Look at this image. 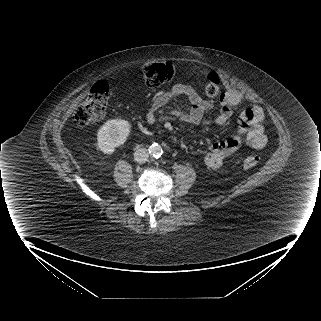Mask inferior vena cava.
I'll return each mask as SVG.
<instances>
[{"label": "inferior vena cava", "mask_w": 321, "mask_h": 321, "mask_svg": "<svg viewBox=\"0 0 321 321\" xmlns=\"http://www.w3.org/2000/svg\"><path fill=\"white\" fill-rule=\"evenodd\" d=\"M149 152L146 148H139L134 153V159L138 163H145L148 160Z\"/></svg>", "instance_id": "obj_1"}]
</instances>
